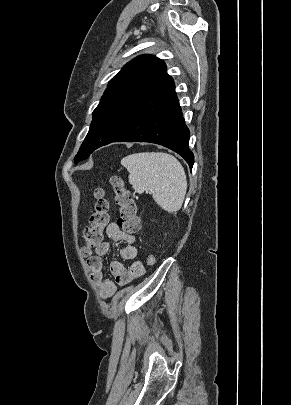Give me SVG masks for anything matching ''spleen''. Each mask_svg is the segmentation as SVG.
Instances as JSON below:
<instances>
[{"mask_svg":"<svg viewBox=\"0 0 291 405\" xmlns=\"http://www.w3.org/2000/svg\"><path fill=\"white\" fill-rule=\"evenodd\" d=\"M129 172V182L136 193L149 190L155 202L167 212L182 207L187 179L181 163L164 152L131 154L121 160Z\"/></svg>","mask_w":291,"mask_h":405,"instance_id":"1","label":"spleen"}]
</instances>
